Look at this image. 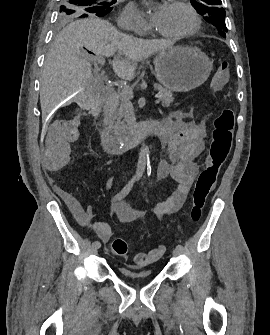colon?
I'll list each match as a JSON object with an SVG mask.
<instances>
[{"instance_id":"colon-1","label":"colon","mask_w":270,"mask_h":335,"mask_svg":"<svg viewBox=\"0 0 270 335\" xmlns=\"http://www.w3.org/2000/svg\"><path fill=\"white\" fill-rule=\"evenodd\" d=\"M230 62L223 61L217 68L211 81L214 93L220 92L229 81ZM235 111L233 108H223L214 118L212 143L209 149L208 163L198 175L192 193V204L189 213L192 222H199L203 215L206 200L215 187L221 166L226 162L232 147ZM112 250L115 255L125 258L128 245L125 239L112 240ZM165 253L164 246H157L147 252L136 254L132 263L136 267L146 266L158 261Z\"/></svg>"}]
</instances>
